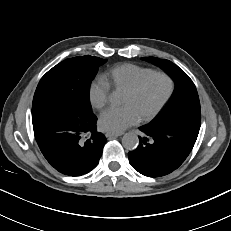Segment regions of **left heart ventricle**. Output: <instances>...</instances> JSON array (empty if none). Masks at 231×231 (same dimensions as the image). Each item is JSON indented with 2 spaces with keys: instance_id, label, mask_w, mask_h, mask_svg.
I'll use <instances>...</instances> for the list:
<instances>
[{
  "instance_id": "obj_1",
  "label": "left heart ventricle",
  "mask_w": 231,
  "mask_h": 231,
  "mask_svg": "<svg viewBox=\"0 0 231 231\" xmlns=\"http://www.w3.org/2000/svg\"><path fill=\"white\" fill-rule=\"evenodd\" d=\"M169 89V82L163 76L150 78L135 94L125 93L123 105L132 106L141 117L155 109L164 99Z\"/></svg>"
}]
</instances>
